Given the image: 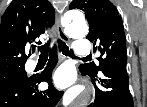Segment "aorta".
<instances>
[{
  "mask_svg": "<svg viewBox=\"0 0 147 107\" xmlns=\"http://www.w3.org/2000/svg\"><path fill=\"white\" fill-rule=\"evenodd\" d=\"M65 32L70 38L79 39L85 38L88 34V27L82 18L74 17L72 20L67 18V24L65 26ZM79 92L75 98V106L84 107L91 99L90 93L83 87H76Z\"/></svg>",
  "mask_w": 147,
  "mask_h": 107,
  "instance_id": "obj_1",
  "label": "aorta"
}]
</instances>
